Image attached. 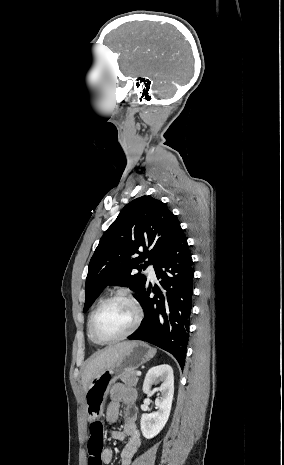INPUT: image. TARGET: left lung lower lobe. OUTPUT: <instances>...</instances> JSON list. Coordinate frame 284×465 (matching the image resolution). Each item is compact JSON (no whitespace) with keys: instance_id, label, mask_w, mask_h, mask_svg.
Here are the masks:
<instances>
[{"instance_id":"1","label":"left lung lower lobe","mask_w":284,"mask_h":465,"mask_svg":"<svg viewBox=\"0 0 284 465\" xmlns=\"http://www.w3.org/2000/svg\"><path fill=\"white\" fill-rule=\"evenodd\" d=\"M193 262L181 227L166 252L154 264L161 287H144L138 301L145 318L128 339L142 340L171 353L181 368L185 364L192 312ZM156 295L150 297V293Z\"/></svg>"}]
</instances>
